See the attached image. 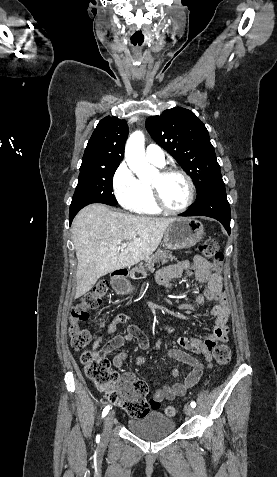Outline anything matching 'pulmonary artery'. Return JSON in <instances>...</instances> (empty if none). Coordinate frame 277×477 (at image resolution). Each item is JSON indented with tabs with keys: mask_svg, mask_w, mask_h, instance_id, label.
<instances>
[{
	"mask_svg": "<svg viewBox=\"0 0 277 477\" xmlns=\"http://www.w3.org/2000/svg\"><path fill=\"white\" fill-rule=\"evenodd\" d=\"M146 158L149 162L157 166H163L165 164V156L162 149L156 144H150L146 148Z\"/></svg>",
	"mask_w": 277,
	"mask_h": 477,
	"instance_id": "obj_1",
	"label": "pulmonary artery"
}]
</instances>
